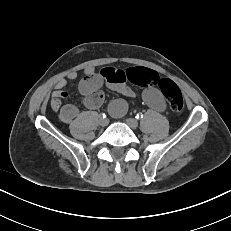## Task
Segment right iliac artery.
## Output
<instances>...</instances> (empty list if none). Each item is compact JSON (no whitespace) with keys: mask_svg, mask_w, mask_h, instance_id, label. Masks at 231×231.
I'll return each mask as SVG.
<instances>
[{"mask_svg":"<svg viewBox=\"0 0 231 231\" xmlns=\"http://www.w3.org/2000/svg\"><path fill=\"white\" fill-rule=\"evenodd\" d=\"M101 117L106 118V114L105 113L101 114Z\"/></svg>","mask_w":231,"mask_h":231,"instance_id":"obj_1","label":"right iliac artery"}]
</instances>
